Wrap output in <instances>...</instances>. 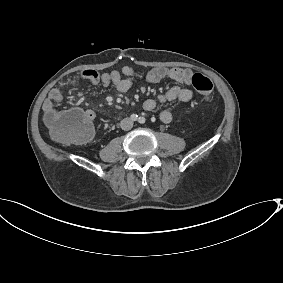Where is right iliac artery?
Returning <instances> with one entry per match:
<instances>
[{"mask_svg":"<svg viewBox=\"0 0 283 283\" xmlns=\"http://www.w3.org/2000/svg\"><path fill=\"white\" fill-rule=\"evenodd\" d=\"M130 118L131 120L136 121L138 116L136 114H131Z\"/></svg>","mask_w":283,"mask_h":283,"instance_id":"right-iliac-artery-1","label":"right iliac artery"}]
</instances>
